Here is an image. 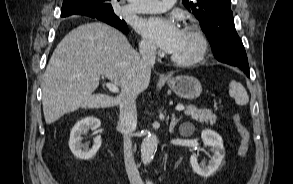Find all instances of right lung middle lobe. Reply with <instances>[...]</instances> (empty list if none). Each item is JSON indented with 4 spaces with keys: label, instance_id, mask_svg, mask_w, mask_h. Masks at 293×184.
Here are the masks:
<instances>
[{
    "label": "right lung middle lobe",
    "instance_id": "right-lung-middle-lobe-1",
    "mask_svg": "<svg viewBox=\"0 0 293 184\" xmlns=\"http://www.w3.org/2000/svg\"><path fill=\"white\" fill-rule=\"evenodd\" d=\"M83 7H85L88 11L94 13L97 16H101L105 19L111 20H120L114 13L113 9H105L101 4L91 1H84L81 2Z\"/></svg>",
    "mask_w": 293,
    "mask_h": 184
}]
</instances>
